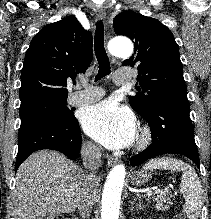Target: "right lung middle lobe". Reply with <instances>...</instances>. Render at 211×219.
<instances>
[{
  "label": "right lung middle lobe",
  "instance_id": "1",
  "mask_svg": "<svg viewBox=\"0 0 211 219\" xmlns=\"http://www.w3.org/2000/svg\"><path fill=\"white\" fill-rule=\"evenodd\" d=\"M66 104L67 98H39L21 103L19 108L21 125L43 117L71 120L74 112Z\"/></svg>",
  "mask_w": 211,
  "mask_h": 219
}]
</instances>
